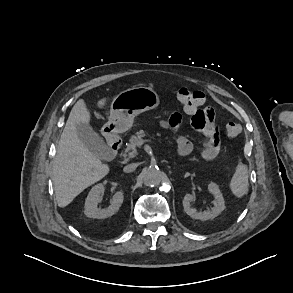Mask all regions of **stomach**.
I'll use <instances>...</instances> for the list:
<instances>
[{"label": "stomach", "mask_w": 293, "mask_h": 293, "mask_svg": "<svg viewBox=\"0 0 293 293\" xmlns=\"http://www.w3.org/2000/svg\"><path fill=\"white\" fill-rule=\"evenodd\" d=\"M158 94L149 87H135L120 92L112 101L109 121L103 126L106 135L129 130L135 116L159 106Z\"/></svg>", "instance_id": "obj_1"}]
</instances>
